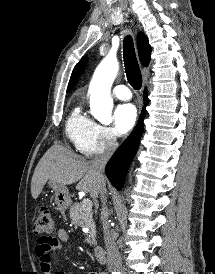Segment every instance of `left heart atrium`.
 Listing matches in <instances>:
<instances>
[{"label": "left heart atrium", "mask_w": 215, "mask_h": 274, "mask_svg": "<svg viewBox=\"0 0 215 274\" xmlns=\"http://www.w3.org/2000/svg\"><path fill=\"white\" fill-rule=\"evenodd\" d=\"M114 126L117 134L128 133L137 120V110L132 104H121L117 106L113 114Z\"/></svg>", "instance_id": "left-heart-atrium-1"}]
</instances>
